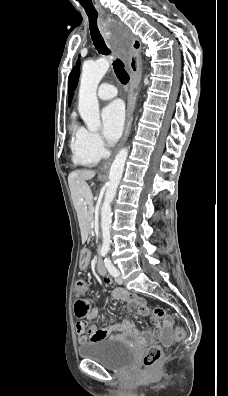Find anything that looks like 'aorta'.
I'll return each mask as SVG.
<instances>
[{
    "mask_svg": "<svg viewBox=\"0 0 228 396\" xmlns=\"http://www.w3.org/2000/svg\"><path fill=\"white\" fill-rule=\"evenodd\" d=\"M109 58H100L93 63L83 65L78 111L89 131L96 132L101 127L99 104L97 99L98 85L110 67ZM128 149L122 148L113 160L104 202L101 207L102 249L108 251L111 244L110 228L112 223L111 202L122 178Z\"/></svg>",
    "mask_w": 228,
    "mask_h": 396,
    "instance_id": "1",
    "label": "aorta"
}]
</instances>
